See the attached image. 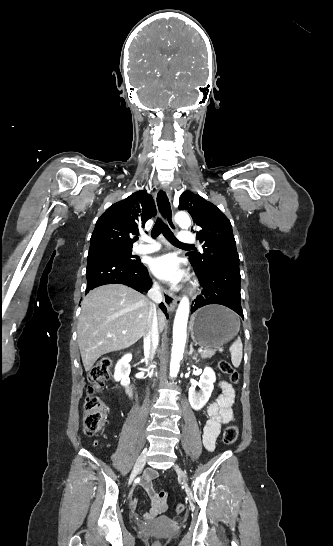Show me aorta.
Segmentation results:
<instances>
[{
    "instance_id": "1",
    "label": "aorta",
    "mask_w": 333,
    "mask_h": 546,
    "mask_svg": "<svg viewBox=\"0 0 333 546\" xmlns=\"http://www.w3.org/2000/svg\"><path fill=\"white\" fill-rule=\"evenodd\" d=\"M175 221L182 228H188L191 220L187 213L179 212L175 215ZM189 316V300L183 297L176 311L173 326V346L170 362V377L177 376L180 369V362L183 359V353L186 343V330Z\"/></svg>"
}]
</instances>
